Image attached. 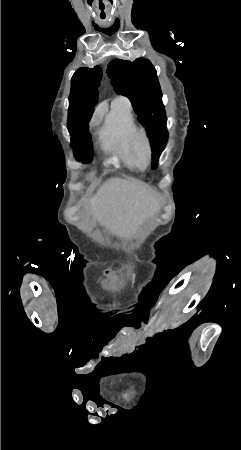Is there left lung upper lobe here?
<instances>
[{
  "instance_id": "5c2ea615",
  "label": "left lung upper lobe",
  "mask_w": 241,
  "mask_h": 450,
  "mask_svg": "<svg viewBox=\"0 0 241 450\" xmlns=\"http://www.w3.org/2000/svg\"><path fill=\"white\" fill-rule=\"evenodd\" d=\"M107 73L114 90L129 98L139 121L146 127L152 148V166L156 167L167 132L162 92L154 66L145 58L134 62L116 59L109 63Z\"/></svg>"
}]
</instances>
